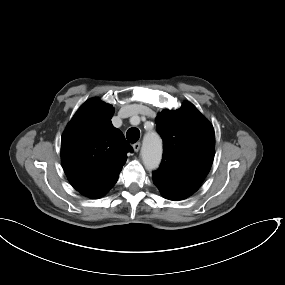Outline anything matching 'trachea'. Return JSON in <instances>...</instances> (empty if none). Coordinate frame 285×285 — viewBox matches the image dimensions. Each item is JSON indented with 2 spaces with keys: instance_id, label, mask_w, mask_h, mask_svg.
Masks as SVG:
<instances>
[{
  "instance_id": "1",
  "label": "trachea",
  "mask_w": 285,
  "mask_h": 285,
  "mask_svg": "<svg viewBox=\"0 0 285 285\" xmlns=\"http://www.w3.org/2000/svg\"><path fill=\"white\" fill-rule=\"evenodd\" d=\"M126 137L130 143H135L140 137V131L137 128H130L126 133Z\"/></svg>"
}]
</instances>
